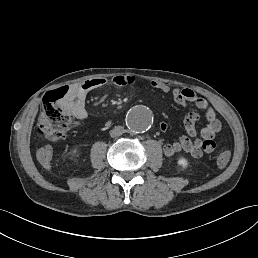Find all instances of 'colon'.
I'll return each instance as SVG.
<instances>
[{"instance_id": "obj_1", "label": "colon", "mask_w": 258, "mask_h": 258, "mask_svg": "<svg viewBox=\"0 0 258 258\" xmlns=\"http://www.w3.org/2000/svg\"><path fill=\"white\" fill-rule=\"evenodd\" d=\"M69 93L70 87L63 86L45 95L37 124V131L42 137L52 141L61 140L78 124L62 107ZM230 158V151H222L216 157L217 166L225 167Z\"/></svg>"}]
</instances>
